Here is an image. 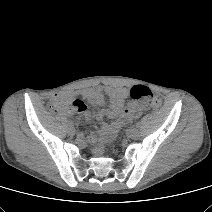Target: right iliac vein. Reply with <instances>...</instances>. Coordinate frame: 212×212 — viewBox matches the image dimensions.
Masks as SVG:
<instances>
[{"label": "right iliac vein", "instance_id": "1", "mask_svg": "<svg viewBox=\"0 0 212 212\" xmlns=\"http://www.w3.org/2000/svg\"><path fill=\"white\" fill-rule=\"evenodd\" d=\"M68 133H69V135H71V136L75 135V129H74L73 127H70V128L68 129Z\"/></svg>", "mask_w": 212, "mask_h": 212}]
</instances>
